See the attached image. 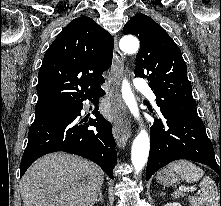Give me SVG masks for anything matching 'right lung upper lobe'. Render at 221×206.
<instances>
[{"label":"right lung upper lobe","instance_id":"obj_1","mask_svg":"<svg viewBox=\"0 0 221 206\" xmlns=\"http://www.w3.org/2000/svg\"><path fill=\"white\" fill-rule=\"evenodd\" d=\"M113 38L94 20H72L44 55L38 74L36 107L73 105L104 83L111 66Z\"/></svg>","mask_w":221,"mask_h":206}]
</instances>
